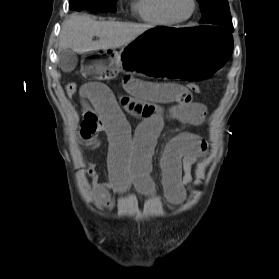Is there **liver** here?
Returning a JSON list of instances; mask_svg holds the SVG:
<instances>
[{"label":"liver","mask_w":279,"mask_h":279,"mask_svg":"<svg viewBox=\"0 0 279 279\" xmlns=\"http://www.w3.org/2000/svg\"><path fill=\"white\" fill-rule=\"evenodd\" d=\"M152 28L147 24L96 21L87 15H71L62 24L59 52L72 50L83 54L102 49H115L130 43ZM97 36L99 40L93 41Z\"/></svg>","instance_id":"obj_1"}]
</instances>
